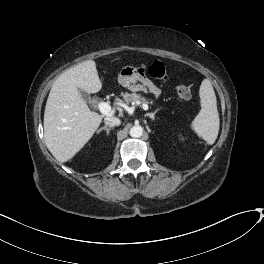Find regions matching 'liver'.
Listing matches in <instances>:
<instances>
[{
  "instance_id": "obj_1",
  "label": "liver",
  "mask_w": 264,
  "mask_h": 264,
  "mask_svg": "<svg viewBox=\"0 0 264 264\" xmlns=\"http://www.w3.org/2000/svg\"><path fill=\"white\" fill-rule=\"evenodd\" d=\"M101 89L93 60L65 71L52 85L44 112V140L59 162L72 159L92 138L103 119V115L89 109L79 90L90 94Z\"/></svg>"
}]
</instances>
